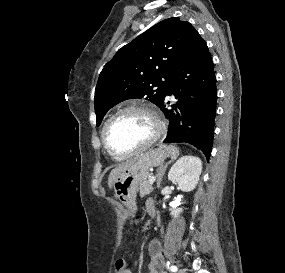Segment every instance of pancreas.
I'll return each instance as SVG.
<instances>
[{"mask_svg":"<svg viewBox=\"0 0 285 273\" xmlns=\"http://www.w3.org/2000/svg\"><path fill=\"white\" fill-rule=\"evenodd\" d=\"M152 190H153V187L150 184V176H148L147 179H145L142 183H140V187H139L140 196L144 197L150 194Z\"/></svg>","mask_w":285,"mask_h":273,"instance_id":"1","label":"pancreas"}]
</instances>
